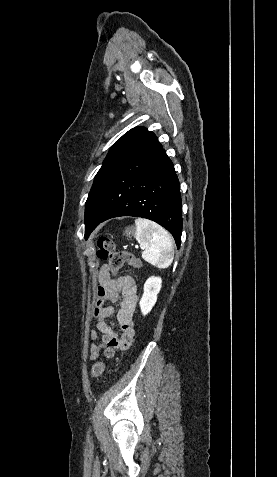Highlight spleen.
I'll list each match as a JSON object with an SVG mask.
<instances>
[{"label": "spleen", "mask_w": 277, "mask_h": 477, "mask_svg": "<svg viewBox=\"0 0 277 477\" xmlns=\"http://www.w3.org/2000/svg\"><path fill=\"white\" fill-rule=\"evenodd\" d=\"M134 237L143 247L142 258L158 268H167L174 258V242L170 234L158 224L138 218Z\"/></svg>", "instance_id": "spleen-1"}]
</instances>
